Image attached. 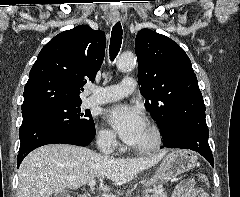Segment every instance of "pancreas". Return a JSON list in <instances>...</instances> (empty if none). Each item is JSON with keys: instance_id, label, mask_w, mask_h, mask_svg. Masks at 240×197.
Wrapping results in <instances>:
<instances>
[{"instance_id": "1", "label": "pancreas", "mask_w": 240, "mask_h": 197, "mask_svg": "<svg viewBox=\"0 0 240 197\" xmlns=\"http://www.w3.org/2000/svg\"><path fill=\"white\" fill-rule=\"evenodd\" d=\"M143 197H167V195H166L165 192L155 191L151 195H146V196H143Z\"/></svg>"}]
</instances>
